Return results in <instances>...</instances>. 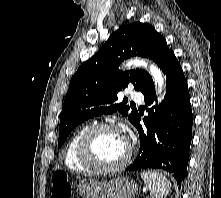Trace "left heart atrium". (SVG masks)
Here are the masks:
<instances>
[{
    "instance_id": "1",
    "label": "left heart atrium",
    "mask_w": 221,
    "mask_h": 198,
    "mask_svg": "<svg viewBox=\"0 0 221 198\" xmlns=\"http://www.w3.org/2000/svg\"><path fill=\"white\" fill-rule=\"evenodd\" d=\"M123 138L126 140V137L123 135Z\"/></svg>"
}]
</instances>
